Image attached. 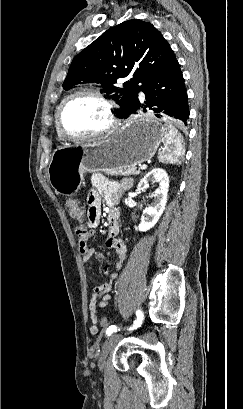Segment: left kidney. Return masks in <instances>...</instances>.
Wrapping results in <instances>:
<instances>
[{
	"label": "left kidney",
	"instance_id": "obj_1",
	"mask_svg": "<svg viewBox=\"0 0 243 409\" xmlns=\"http://www.w3.org/2000/svg\"><path fill=\"white\" fill-rule=\"evenodd\" d=\"M150 183H158V187L151 195L154 198L153 202L145 208L140 224L135 227L136 230L142 232L150 230L158 222L165 209L169 189L168 174L161 168L151 170L140 180L137 190L144 191Z\"/></svg>",
	"mask_w": 243,
	"mask_h": 409
}]
</instances>
